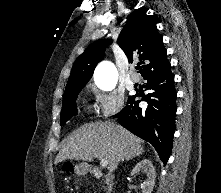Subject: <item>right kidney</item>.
<instances>
[{
	"label": "right kidney",
	"instance_id": "right-kidney-1",
	"mask_svg": "<svg viewBox=\"0 0 221 193\" xmlns=\"http://www.w3.org/2000/svg\"><path fill=\"white\" fill-rule=\"evenodd\" d=\"M140 171L147 175V180L141 185L142 193H152L156 178V172L152 162L149 159L141 160L133 168L131 176H135Z\"/></svg>",
	"mask_w": 221,
	"mask_h": 193
}]
</instances>
